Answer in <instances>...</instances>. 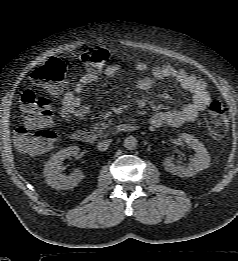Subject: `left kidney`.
Segmentation results:
<instances>
[{
    "label": "left kidney",
    "mask_w": 238,
    "mask_h": 261,
    "mask_svg": "<svg viewBox=\"0 0 238 261\" xmlns=\"http://www.w3.org/2000/svg\"><path fill=\"white\" fill-rule=\"evenodd\" d=\"M180 137L196 153L188 167L178 166L174 163L172 157H166L163 161L165 170L179 177H191L208 168L210 165V156L204 145L190 134L183 133Z\"/></svg>",
    "instance_id": "1"
}]
</instances>
